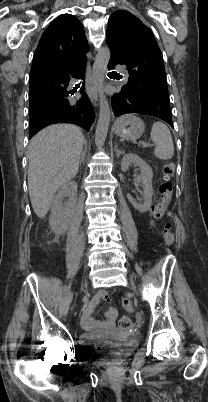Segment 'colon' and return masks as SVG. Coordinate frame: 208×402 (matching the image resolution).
<instances>
[{
    "label": "colon",
    "instance_id": "obj_1",
    "mask_svg": "<svg viewBox=\"0 0 208 402\" xmlns=\"http://www.w3.org/2000/svg\"><path fill=\"white\" fill-rule=\"evenodd\" d=\"M175 172V164L173 162H166L162 164L161 166V184L159 187V198L155 202L154 207L152 208L151 214L152 216L160 220L164 213L166 208L168 207L172 192H173V184L171 182V178L174 175ZM163 240L167 245H173L175 242V234L171 231V229L168 226H165L163 228L162 232ZM122 305L125 306V308H131V303L129 298L124 297L121 300ZM131 314H133V309H128V313L126 315H122L120 320H119V325L122 328L129 327L132 320H131Z\"/></svg>",
    "mask_w": 208,
    "mask_h": 402
}]
</instances>
